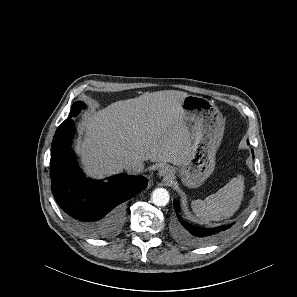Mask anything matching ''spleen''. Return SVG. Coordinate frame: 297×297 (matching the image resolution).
<instances>
[{
  "mask_svg": "<svg viewBox=\"0 0 297 297\" xmlns=\"http://www.w3.org/2000/svg\"><path fill=\"white\" fill-rule=\"evenodd\" d=\"M245 190L244 177L231 179L215 194L192 201V210L202 221H219L231 217L240 207Z\"/></svg>",
  "mask_w": 297,
  "mask_h": 297,
  "instance_id": "3e777b00",
  "label": "spleen"
}]
</instances>
